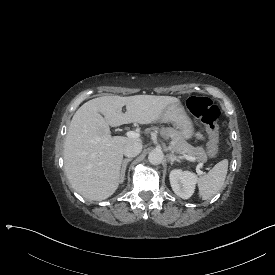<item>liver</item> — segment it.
Instances as JSON below:
<instances>
[{"label": "liver", "mask_w": 275, "mask_h": 275, "mask_svg": "<svg viewBox=\"0 0 275 275\" xmlns=\"http://www.w3.org/2000/svg\"><path fill=\"white\" fill-rule=\"evenodd\" d=\"M171 103L179 100L151 95L109 96L83 104L72 118L64 143V168L72 187L91 200L110 196L119 182L124 145L140 139L111 137L108 125L155 121Z\"/></svg>", "instance_id": "1"}]
</instances>
